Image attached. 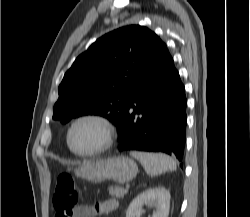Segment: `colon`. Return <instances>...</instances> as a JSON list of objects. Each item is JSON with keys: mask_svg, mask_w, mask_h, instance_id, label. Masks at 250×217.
<instances>
[{"mask_svg": "<svg viewBox=\"0 0 250 217\" xmlns=\"http://www.w3.org/2000/svg\"><path fill=\"white\" fill-rule=\"evenodd\" d=\"M52 202L56 210L55 217H71L79 202V191L71 175H59Z\"/></svg>", "mask_w": 250, "mask_h": 217, "instance_id": "colon-1", "label": "colon"}]
</instances>
